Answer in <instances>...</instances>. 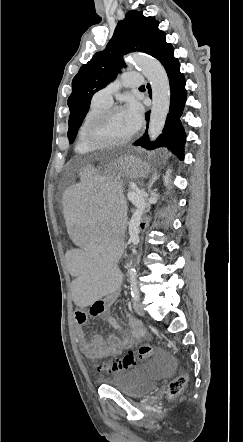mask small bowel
<instances>
[{
    "instance_id": "small-bowel-1",
    "label": "small bowel",
    "mask_w": 243,
    "mask_h": 442,
    "mask_svg": "<svg viewBox=\"0 0 243 442\" xmlns=\"http://www.w3.org/2000/svg\"><path fill=\"white\" fill-rule=\"evenodd\" d=\"M119 294V293H118ZM118 296H106L101 302H94L93 307L89 308V314L93 317H100L104 310L109 307ZM87 315L83 310L75 313L76 338L80 349L89 358L105 359L114 357L125 349L133 347L137 341L144 335L143 327L140 322L131 314L127 315L129 332L120 336L110 335L105 338L101 334H94L87 337L84 330ZM107 323L114 329L121 330L122 325L113 317H107Z\"/></svg>"
}]
</instances>
